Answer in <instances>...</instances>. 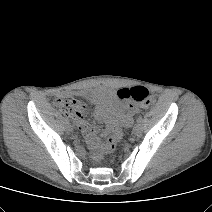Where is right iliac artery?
<instances>
[{
    "instance_id": "1",
    "label": "right iliac artery",
    "mask_w": 212,
    "mask_h": 212,
    "mask_svg": "<svg viewBox=\"0 0 212 212\" xmlns=\"http://www.w3.org/2000/svg\"><path fill=\"white\" fill-rule=\"evenodd\" d=\"M64 120H65V122H66L67 124L69 123L68 119L65 118Z\"/></svg>"
}]
</instances>
